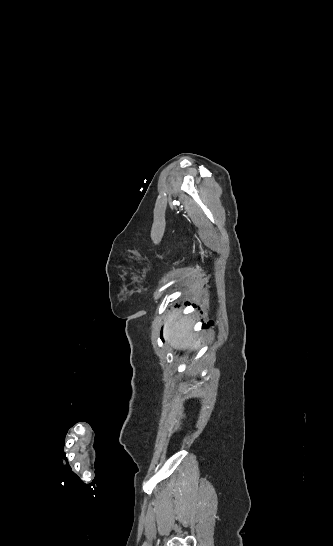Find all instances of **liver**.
I'll use <instances>...</instances> for the list:
<instances>
[{"label":"liver","mask_w":333,"mask_h":546,"mask_svg":"<svg viewBox=\"0 0 333 546\" xmlns=\"http://www.w3.org/2000/svg\"><path fill=\"white\" fill-rule=\"evenodd\" d=\"M181 309H173L164 320V338L175 349H197L199 341L192 332L193 320L183 317Z\"/></svg>","instance_id":"liver-1"}]
</instances>
